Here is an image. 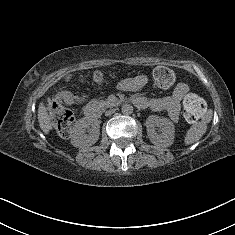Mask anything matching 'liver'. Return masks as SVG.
Listing matches in <instances>:
<instances>
[{"label": "liver", "instance_id": "obj_1", "mask_svg": "<svg viewBox=\"0 0 235 235\" xmlns=\"http://www.w3.org/2000/svg\"><path fill=\"white\" fill-rule=\"evenodd\" d=\"M38 121H39V126L41 130L44 133H49L51 126H50L47 109L43 103H40L38 107Z\"/></svg>", "mask_w": 235, "mask_h": 235}]
</instances>
